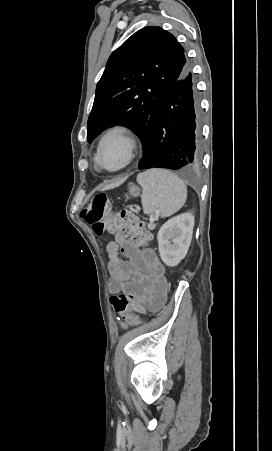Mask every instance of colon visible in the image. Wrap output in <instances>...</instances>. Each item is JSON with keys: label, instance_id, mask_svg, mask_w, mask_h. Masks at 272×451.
<instances>
[{"label": "colon", "instance_id": "obj_1", "mask_svg": "<svg viewBox=\"0 0 272 451\" xmlns=\"http://www.w3.org/2000/svg\"><path fill=\"white\" fill-rule=\"evenodd\" d=\"M111 209L109 197L106 193L93 194L87 207L80 211L81 218L89 224L97 235L112 233L115 239H125L132 244H144L150 238V231L146 230L144 224L135 219L130 210H122L112 213L106 218ZM128 232V237H127ZM127 247V245H123ZM109 305L114 313H117L130 322L136 320L134 312L143 311L144 308L138 303L132 294H121L109 300Z\"/></svg>", "mask_w": 272, "mask_h": 451}]
</instances>
